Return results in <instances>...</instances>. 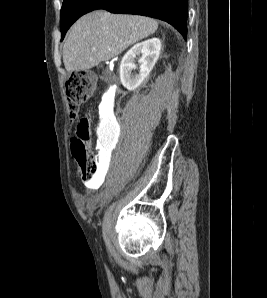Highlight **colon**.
<instances>
[{
	"label": "colon",
	"mask_w": 267,
	"mask_h": 298,
	"mask_svg": "<svg viewBox=\"0 0 267 298\" xmlns=\"http://www.w3.org/2000/svg\"><path fill=\"white\" fill-rule=\"evenodd\" d=\"M66 97L70 117L75 118L80 107L92 95L95 89V77L86 71L74 72L66 81ZM91 136V120L81 119L77 134L71 139V152L78 165V172L83 181H93L97 176L99 159L90 154L87 142Z\"/></svg>",
	"instance_id": "5ec220e1"
}]
</instances>
